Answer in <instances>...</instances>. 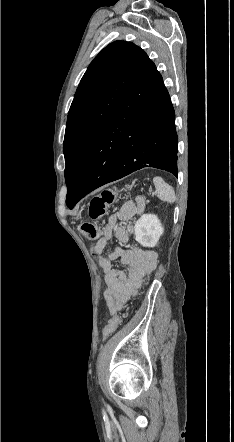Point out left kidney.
I'll list each match as a JSON object with an SVG mask.
<instances>
[{
    "mask_svg": "<svg viewBox=\"0 0 234 442\" xmlns=\"http://www.w3.org/2000/svg\"><path fill=\"white\" fill-rule=\"evenodd\" d=\"M135 240L143 247H155L164 232L158 217L153 214H143L135 223Z\"/></svg>",
    "mask_w": 234,
    "mask_h": 442,
    "instance_id": "1",
    "label": "left kidney"
}]
</instances>
